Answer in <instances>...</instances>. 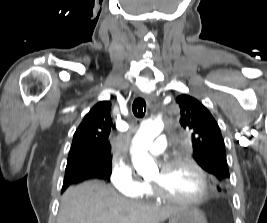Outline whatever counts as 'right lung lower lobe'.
I'll return each instance as SVG.
<instances>
[{
    "label": "right lung lower lobe",
    "mask_w": 267,
    "mask_h": 223,
    "mask_svg": "<svg viewBox=\"0 0 267 223\" xmlns=\"http://www.w3.org/2000/svg\"><path fill=\"white\" fill-rule=\"evenodd\" d=\"M89 178L103 179V176L101 175V173H98L97 171H89V170H75L69 173H65L62 192L69 185Z\"/></svg>",
    "instance_id": "1"
}]
</instances>
